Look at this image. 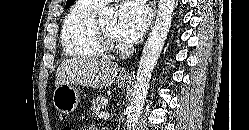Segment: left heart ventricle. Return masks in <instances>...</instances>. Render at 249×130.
Returning a JSON list of instances; mask_svg holds the SVG:
<instances>
[{"mask_svg":"<svg viewBox=\"0 0 249 130\" xmlns=\"http://www.w3.org/2000/svg\"><path fill=\"white\" fill-rule=\"evenodd\" d=\"M100 24L109 35L116 39L118 38L116 34L117 22L115 19L103 20Z\"/></svg>","mask_w":249,"mask_h":130,"instance_id":"b2bd125f","label":"left heart ventricle"}]
</instances>
